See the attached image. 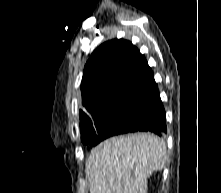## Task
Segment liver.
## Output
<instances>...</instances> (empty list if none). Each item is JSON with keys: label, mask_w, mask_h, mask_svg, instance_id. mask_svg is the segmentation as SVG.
Segmentation results:
<instances>
[{"label": "liver", "mask_w": 221, "mask_h": 193, "mask_svg": "<svg viewBox=\"0 0 221 193\" xmlns=\"http://www.w3.org/2000/svg\"><path fill=\"white\" fill-rule=\"evenodd\" d=\"M166 160V143L154 134L109 138L91 150L86 162L90 193H147L148 178Z\"/></svg>", "instance_id": "liver-1"}]
</instances>
